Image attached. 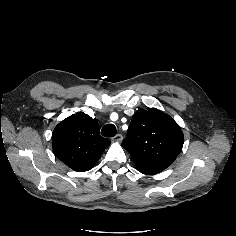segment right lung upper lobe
Segmentation results:
<instances>
[{"instance_id": "cb5924a9", "label": "right lung upper lobe", "mask_w": 236, "mask_h": 236, "mask_svg": "<svg viewBox=\"0 0 236 236\" xmlns=\"http://www.w3.org/2000/svg\"><path fill=\"white\" fill-rule=\"evenodd\" d=\"M109 145L99 134L98 122L83 112L64 119L52 133L55 155L78 172L90 170Z\"/></svg>"}]
</instances>
